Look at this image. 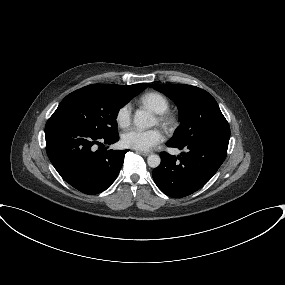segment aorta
Listing matches in <instances>:
<instances>
[{
    "instance_id": "aorta-1",
    "label": "aorta",
    "mask_w": 285,
    "mask_h": 285,
    "mask_svg": "<svg viewBox=\"0 0 285 285\" xmlns=\"http://www.w3.org/2000/svg\"><path fill=\"white\" fill-rule=\"evenodd\" d=\"M134 124L139 129H148L154 126V118L152 114L146 110H137L134 116ZM161 158L159 155L151 154L147 158V163L151 168L160 165Z\"/></svg>"
}]
</instances>
